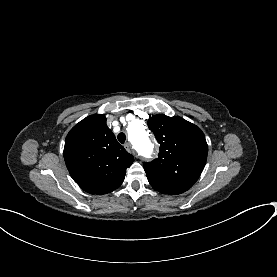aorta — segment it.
Here are the masks:
<instances>
[{
    "mask_svg": "<svg viewBox=\"0 0 277 277\" xmlns=\"http://www.w3.org/2000/svg\"><path fill=\"white\" fill-rule=\"evenodd\" d=\"M127 133L130 142L138 153L144 157H149L153 147L149 139L148 133L145 130L143 121L134 120L129 123Z\"/></svg>",
    "mask_w": 277,
    "mask_h": 277,
    "instance_id": "1",
    "label": "aorta"
}]
</instances>
